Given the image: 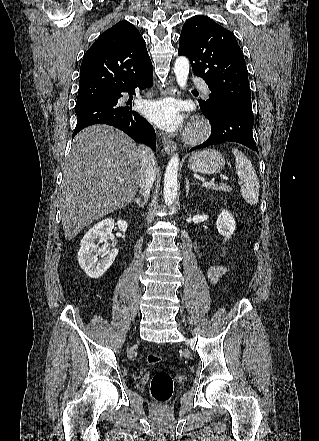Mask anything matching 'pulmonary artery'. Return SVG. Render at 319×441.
I'll return each mask as SVG.
<instances>
[{"instance_id":"1","label":"pulmonary artery","mask_w":319,"mask_h":441,"mask_svg":"<svg viewBox=\"0 0 319 441\" xmlns=\"http://www.w3.org/2000/svg\"><path fill=\"white\" fill-rule=\"evenodd\" d=\"M193 82H194L197 86L200 87V89L202 90V92H203L206 96H208V95L210 94V89H209V87L207 86V84H206L202 79L195 77V78L193 79Z\"/></svg>"}]
</instances>
